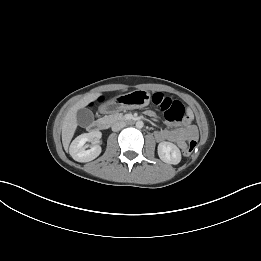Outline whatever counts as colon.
I'll use <instances>...</instances> for the list:
<instances>
[{
    "instance_id": "5ec220e1",
    "label": "colon",
    "mask_w": 261,
    "mask_h": 261,
    "mask_svg": "<svg viewBox=\"0 0 261 261\" xmlns=\"http://www.w3.org/2000/svg\"><path fill=\"white\" fill-rule=\"evenodd\" d=\"M152 102L158 108L168 121L189 124L190 118L186 113L183 104L177 100H172L163 93H155L152 97ZM197 146L196 141L191 140L183 149L185 156H191Z\"/></svg>"
}]
</instances>
